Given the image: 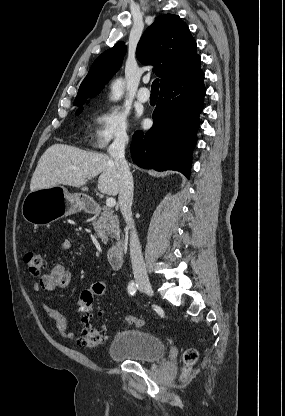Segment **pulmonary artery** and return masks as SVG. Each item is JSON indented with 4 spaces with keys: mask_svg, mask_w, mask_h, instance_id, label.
Listing matches in <instances>:
<instances>
[{
    "mask_svg": "<svg viewBox=\"0 0 285 416\" xmlns=\"http://www.w3.org/2000/svg\"><path fill=\"white\" fill-rule=\"evenodd\" d=\"M147 83V82H145ZM137 98L141 102H147L150 99L149 89L147 87H140L138 89Z\"/></svg>",
    "mask_w": 285,
    "mask_h": 416,
    "instance_id": "e3ab8cb5",
    "label": "pulmonary artery"
}]
</instances>
